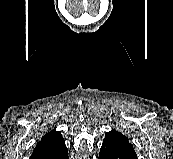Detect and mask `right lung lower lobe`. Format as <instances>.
<instances>
[{
	"instance_id": "98d812e1",
	"label": "right lung lower lobe",
	"mask_w": 173,
	"mask_h": 159,
	"mask_svg": "<svg viewBox=\"0 0 173 159\" xmlns=\"http://www.w3.org/2000/svg\"><path fill=\"white\" fill-rule=\"evenodd\" d=\"M49 159H69L68 157V150H64L62 151L61 153L53 156V157H50Z\"/></svg>"
}]
</instances>
